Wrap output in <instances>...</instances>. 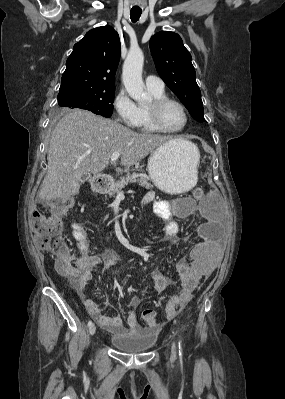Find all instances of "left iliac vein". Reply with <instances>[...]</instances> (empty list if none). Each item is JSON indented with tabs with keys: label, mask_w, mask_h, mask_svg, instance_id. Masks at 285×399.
Listing matches in <instances>:
<instances>
[{
	"label": "left iliac vein",
	"mask_w": 285,
	"mask_h": 399,
	"mask_svg": "<svg viewBox=\"0 0 285 399\" xmlns=\"http://www.w3.org/2000/svg\"><path fill=\"white\" fill-rule=\"evenodd\" d=\"M171 356L172 358L176 357V347H175V343H172V348H171Z\"/></svg>",
	"instance_id": "obj_1"
}]
</instances>
